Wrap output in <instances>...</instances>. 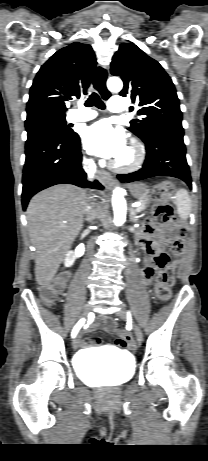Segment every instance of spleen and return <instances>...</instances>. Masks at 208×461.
<instances>
[{
  "label": "spleen",
  "instance_id": "obj_1",
  "mask_svg": "<svg viewBox=\"0 0 208 461\" xmlns=\"http://www.w3.org/2000/svg\"><path fill=\"white\" fill-rule=\"evenodd\" d=\"M174 203L179 217L186 220L191 211V199L188 192L185 189H179L175 194Z\"/></svg>",
  "mask_w": 208,
  "mask_h": 461
}]
</instances>
